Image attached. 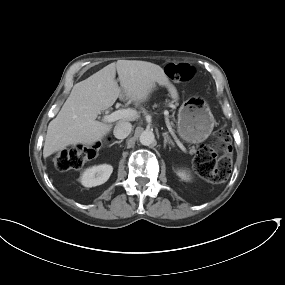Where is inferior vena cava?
Listing matches in <instances>:
<instances>
[{
    "label": "inferior vena cava",
    "instance_id": "obj_1",
    "mask_svg": "<svg viewBox=\"0 0 285 285\" xmlns=\"http://www.w3.org/2000/svg\"><path fill=\"white\" fill-rule=\"evenodd\" d=\"M132 131V125L129 122H119L114 128V136L117 139H125Z\"/></svg>",
    "mask_w": 285,
    "mask_h": 285
}]
</instances>
